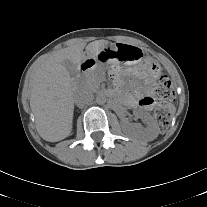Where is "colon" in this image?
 Segmentation results:
<instances>
[{
	"label": "colon",
	"instance_id": "obj_1",
	"mask_svg": "<svg viewBox=\"0 0 207 207\" xmlns=\"http://www.w3.org/2000/svg\"><path fill=\"white\" fill-rule=\"evenodd\" d=\"M148 70L151 74L156 75L160 72L161 67L158 63L149 60L147 62ZM155 94L159 100H162L154 111V116L157 121L159 130L165 132L170 124L171 117L173 115V106L166 102L175 98V89L169 77L167 75H161L158 85L155 89Z\"/></svg>",
	"mask_w": 207,
	"mask_h": 207
}]
</instances>
